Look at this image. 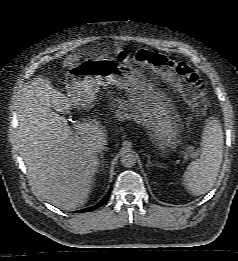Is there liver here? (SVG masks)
Instances as JSON below:
<instances>
[{
    "label": "liver",
    "instance_id": "liver-1",
    "mask_svg": "<svg viewBox=\"0 0 238 261\" xmlns=\"http://www.w3.org/2000/svg\"><path fill=\"white\" fill-rule=\"evenodd\" d=\"M79 57L69 56L64 66ZM73 102L48 78H35L24 90L18 108V147L34 193L61 209L83 206L91 192L99 158L96 146L106 143L103 127L79 134L64 117Z\"/></svg>",
    "mask_w": 238,
    "mask_h": 261
}]
</instances>
